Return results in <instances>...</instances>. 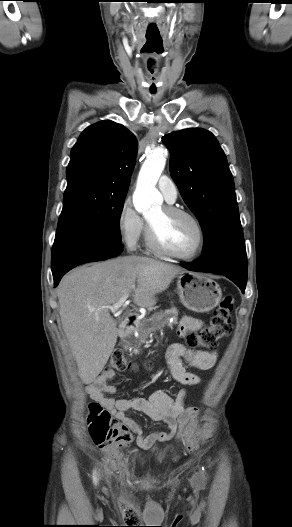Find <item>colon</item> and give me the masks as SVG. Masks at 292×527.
<instances>
[{"instance_id":"obj_1","label":"colon","mask_w":292,"mask_h":527,"mask_svg":"<svg viewBox=\"0 0 292 527\" xmlns=\"http://www.w3.org/2000/svg\"><path fill=\"white\" fill-rule=\"evenodd\" d=\"M233 305L234 298L226 295L207 326L186 334L188 344L191 347L215 349L219 340L232 331L230 314ZM130 368H132L130 360L120 350H116L109 360L107 371H125ZM88 427L93 442L106 451L117 453L131 443L132 438L127 426L113 418L100 401L89 405ZM130 511L135 513L133 509Z\"/></svg>"}]
</instances>
